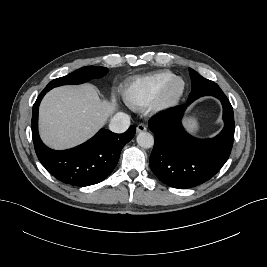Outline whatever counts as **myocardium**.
Returning a JSON list of instances; mask_svg holds the SVG:
<instances>
[{
  "label": "myocardium",
  "mask_w": 267,
  "mask_h": 267,
  "mask_svg": "<svg viewBox=\"0 0 267 267\" xmlns=\"http://www.w3.org/2000/svg\"><path fill=\"white\" fill-rule=\"evenodd\" d=\"M176 82H180L181 87L177 93L173 94L171 92V89ZM185 89H186L185 81L181 77L174 76L173 78L168 80L164 84V86L161 88L157 97L151 104L152 109L154 111L159 112V111H165V110L173 108L174 106L178 104V102L183 97L185 93Z\"/></svg>",
  "instance_id": "obj_1"
}]
</instances>
